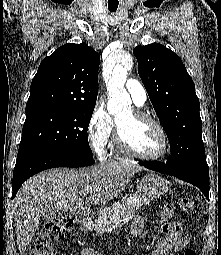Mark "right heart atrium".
Here are the masks:
<instances>
[{"instance_id":"obj_1","label":"right heart atrium","mask_w":221,"mask_h":255,"mask_svg":"<svg viewBox=\"0 0 221 255\" xmlns=\"http://www.w3.org/2000/svg\"><path fill=\"white\" fill-rule=\"evenodd\" d=\"M87 137L94 153L104 158L106 149L114 134V121L102 105H97L88 120Z\"/></svg>"}]
</instances>
